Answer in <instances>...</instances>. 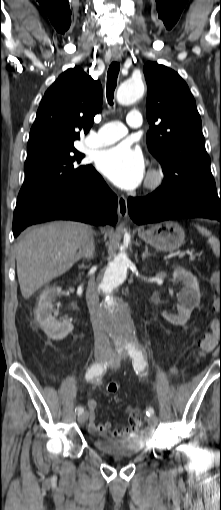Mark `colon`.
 <instances>
[{"label": "colon", "mask_w": 221, "mask_h": 510, "mask_svg": "<svg viewBox=\"0 0 221 510\" xmlns=\"http://www.w3.org/2000/svg\"><path fill=\"white\" fill-rule=\"evenodd\" d=\"M217 280L221 291V273ZM218 343L221 344V309L219 319L212 324L211 329L198 343L199 355L205 357L215 349ZM107 391L111 394H115L118 391V384L116 382H110L107 386ZM116 401H119V399H116ZM134 413L139 416L137 410Z\"/></svg>", "instance_id": "obj_1"}]
</instances>
